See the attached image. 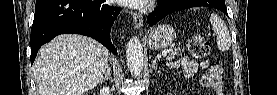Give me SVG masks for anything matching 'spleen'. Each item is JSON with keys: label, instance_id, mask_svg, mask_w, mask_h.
Returning <instances> with one entry per match:
<instances>
[{"label": "spleen", "instance_id": "spleen-1", "mask_svg": "<svg viewBox=\"0 0 277 95\" xmlns=\"http://www.w3.org/2000/svg\"><path fill=\"white\" fill-rule=\"evenodd\" d=\"M210 22L217 38L219 50L226 51L231 46V37L229 30L224 21L216 14H211Z\"/></svg>", "mask_w": 277, "mask_h": 95}]
</instances>
